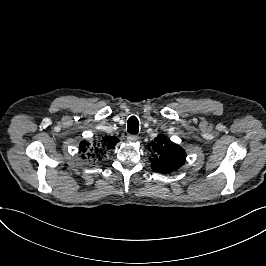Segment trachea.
<instances>
[{
	"mask_svg": "<svg viewBox=\"0 0 266 266\" xmlns=\"http://www.w3.org/2000/svg\"><path fill=\"white\" fill-rule=\"evenodd\" d=\"M128 125V132L137 134L139 131V122L135 116H131L127 122Z\"/></svg>",
	"mask_w": 266,
	"mask_h": 266,
	"instance_id": "trachea-1",
	"label": "trachea"
}]
</instances>
